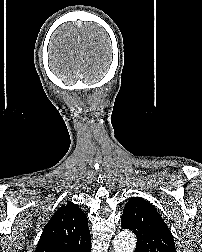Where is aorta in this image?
<instances>
[{"instance_id": "1", "label": "aorta", "mask_w": 202, "mask_h": 252, "mask_svg": "<svg viewBox=\"0 0 202 252\" xmlns=\"http://www.w3.org/2000/svg\"><path fill=\"white\" fill-rule=\"evenodd\" d=\"M136 237L129 230H123L114 239L115 252H134Z\"/></svg>"}]
</instances>
